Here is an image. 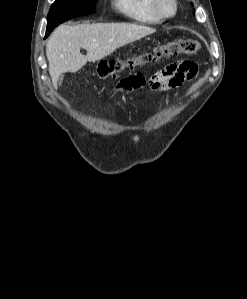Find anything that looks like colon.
<instances>
[{
  "mask_svg": "<svg viewBox=\"0 0 247 299\" xmlns=\"http://www.w3.org/2000/svg\"><path fill=\"white\" fill-rule=\"evenodd\" d=\"M200 49V43L194 38L179 39L156 46L152 51L125 59L112 58L99 63L97 76L100 79L114 77L125 69L155 62L161 58L179 54L194 55Z\"/></svg>",
  "mask_w": 247,
  "mask_h": 299,
  "instance_id": "1",
  "label": "colon"
}]
</instances>
